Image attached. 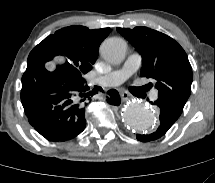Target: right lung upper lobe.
<instances>
[{
	"instance_id": "cb5924a9",
	"label": "right lung upper lobe",
	"mask_w": 215,
	"mask_h": 183,
	"mask_svg": "<svg viewBox=\"0 0 215 183\" xmlns=\"http://www.w3.org/2000/svg\"><path fill=\"white\" fill-rule=\"evenodd\" d=\"M110 31V28L89 30L84 26H70L48 36L34 49L42 57L45 71H47L45 69V63L51 61L56 56L62 57V50L67 48L82 51L89 60L95 62L98 56L99 46L109 35ZM63 66V64L57 65L56 69Z\"/></svg>"
}]
</instances>
